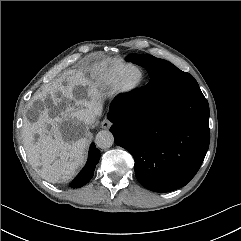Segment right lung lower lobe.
<instances>
[{
	"label": "right lung lower lobe",
	"instance_id": "right-lung-lower-lobe-1",
	"mask_svg": "<svg viewBox=\"0 0 241 241\" xmlns=\"http://www.w3.org/2000/svg\"><path fill=\"white\" fill-rule=\"evenodd\" d=\"M100 159V152L96 148L95 144L92 143L89 149L88 160L85 167L76 176V178L71 183L72 188H80L88 183L93 177L95 167Z\"/></svg>",
	"mask_w": 241,
	"mask_h": 241
}]
</instances>
